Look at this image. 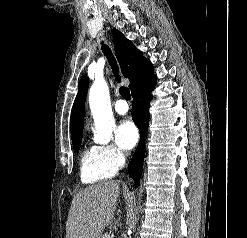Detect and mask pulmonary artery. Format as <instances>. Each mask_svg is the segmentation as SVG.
Returning <instances> with one entry per match:
<instances>
[{"label":"pulmonary artery","mask_w":247,"mask_h":238,"mask_svg":"<svg viewBox=\"0 0 247 238\" xmlns=\"http://www.w3.org/2000/svg\"><path fill=\"white\" fill-rule=\"evenodd\" d=\"M129 110V106L125 100H117L114 104V111L118 114H126Z\"/></svg>","instance_id":"obj_1"}]
</instances>
